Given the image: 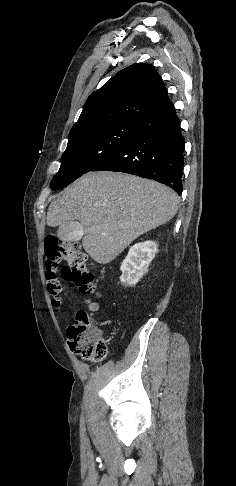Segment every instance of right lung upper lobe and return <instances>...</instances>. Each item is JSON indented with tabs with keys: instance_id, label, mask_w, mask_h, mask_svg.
Returning a JSON list of instances; mask_svg holds the SVG:
<instances>
[{
	"instance_id": "cb5924a9",
	"label": "right lung upper lobe",
	"mask_w": 236,
	"mask_h": 486,
	"mask_svg": "<svg viewBox=\"0 0 236 486\" xmlns=\"http://www.w3.org/2000/svg\"><path fill=\"white\" fill-rule=\"evenodd\" d=\"M173 106L162 78L149 64H133L112 77L87 99L69 137L95 128L138 123Z\"/></svg>"
}]
</instances>
